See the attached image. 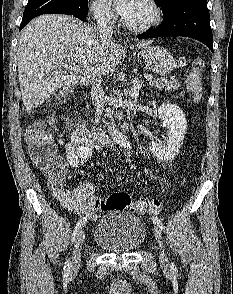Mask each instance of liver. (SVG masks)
I'll use <instances>...</instances> for the list:
<instances>
[{"instance_id": "1", "label": "liver", "mask_w": 233, "mask_h": 294, "mask_svg": "<svg viewBox=\"0 0 233 294\" xmlns=\"http://www.w3.org/2000/svg\"><path fill=\"white\" fill-rule=\"evenodd\" d=\"M152 41L140 42L139 49ZM18 78L23 105L32 110L58 89L89 84L95 72L107 75L121 60L114 41H103L85 23L67 15H42L22 31L18 44ZM59 62L79 67L67 73Z\"/></svg>"}]
</instances>
